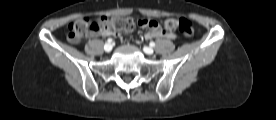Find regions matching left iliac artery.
<instances>
[{"label": "left iliac artery", "mask_w": 276, "mask_h": 120, "mask_svg": "<svg viewBox=\"0 0 276 120\" xmlns=\"http://www.w3.org/2000/svg\"><path fill=\"white\" fill-rule=\"evenodd\" d=\"M150 46L151 47H154L155 46V43L152 41V42H150Z\"/></svg>", "instance_id": "1"}]
</instances>
